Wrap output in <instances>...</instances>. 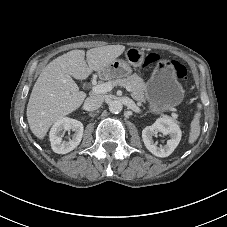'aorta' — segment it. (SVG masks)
I'll use <instances>...</instances> for the list:
<instances>
[{"label": "aorta", "instance_id": "762f6f07", "mask_svg": "<svg viewBox=\"0 0 227 227\" xmlns=\"http://www.w3.org/2000/svg\"><path fill=\"white\" fill-rule=\"evenodd\" d=\"M123 104L119 100H112L109 103V111L114 114H118L119 112L122 111Z\"/></svg>", "mask_w": 227, "mask_h": 227}]
</instances>
